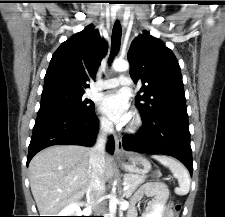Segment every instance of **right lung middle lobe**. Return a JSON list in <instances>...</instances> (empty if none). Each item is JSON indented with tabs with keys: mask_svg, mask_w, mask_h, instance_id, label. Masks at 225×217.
Here are the masks:
<instances>
[{
	"mask_svg": "<svg viewBox=\"0 0 225 217\" xmlns=\"http://www.w3.org/2000/svg\"><path fill=\"white\" fill-rule=\"evenodd\" d=\"M83 92L55 91L42 94L41 109L58 108L77 113H85L94 109V103L83 99Z\"/></svg>",
	"mask_w": 225,
	"mask_h": 217,
	"instance_id": "obj_1",
	"label": "right lung middle lobe"
}]
</instances>
